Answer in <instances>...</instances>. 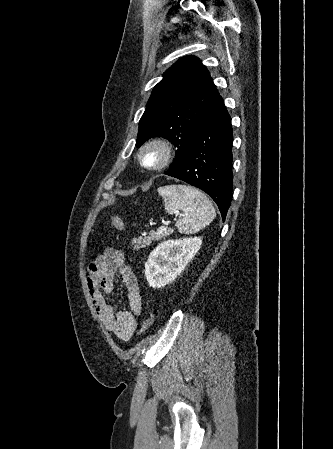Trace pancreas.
<instances>
[{"label":"pancreas","instance_id":"obj_1","mask_svg":"<svg viewBox=\"0 0 333 449\" xmlns=\"http://www.w3.org/2000/svg\"><path fill=\"white\" fill-rule=\"evenodd\" d=\"M172 232L173 230L168 227H160L157 230H151L148 234L144 235L143 237L134 238L132 240V245H134L133 248L134 250H139L141 248L150 246L152 242L165 238L166 236H169Z\"/></svg>","mask_w":333,"mask_h":449}]
</instances>
